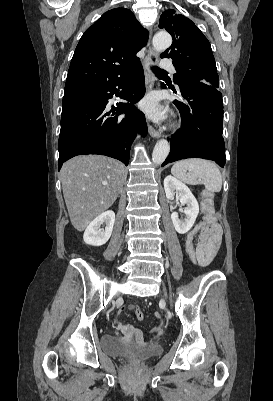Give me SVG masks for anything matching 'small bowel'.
Masks as SVG:
<instances>
[{
  "mask_svg": "<svg viewBox=\"0 0 273 401\" xmlns=\"http://www.w3.org/2000/svg\"><path fill=\"white\" fill-rule=\"evenodd\" d=\"M200 230V225H197L191 232L187 234L186 237V250L189 253V250L192 249L195 252V255L197 257L198 263L203 266H208L212 260L214 259L220 245V241H201L200 240V235H199V244L197 248H194V237L196 233H199ZM135 304H130L129 308L135 310ZM122 311H125V308H122ZM154 316L156 318H159L161 316V313L159 311H156L154 313ZM141 320V319H139ZM118 329L120 332L123 334H128L130 330V335L129 336H124L123 342L124 344L130 348V349H135L138 347H143L146 345V343L142 339V335L140 331L135 328L132 325H129L127 323H120L118 326ZM157 331L159 335L164 336L167 333L166 328L164 327H159L157 326Z\"/></svg>",
  "mask_w": 273,
  "mask_h": 401,
  "instance_id": "1",
  "label": "small bowel"
}]
</instances>
